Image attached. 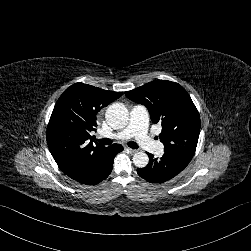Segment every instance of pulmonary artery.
Instances as JSON below:
<instances>
[{
  "label": "pulmonary artery",
  "mask_w": 251,
  "mask_h": 251,
  "mask_svg": "<svg viewBox=\"0 0 251 251\" xmlns=\"http://www.w3.org/2000/svg\"><path fill=\"white\" fill-rule=\"evenodd\" d=\"M147 118V110L142 106H137L131 111L130 121L127 127L118 132L111 133V136L121 140L132 137L138 145L142 146L145 152L149 154H165L166 148L164 144L154 141L147 129Z\"/></svg>",
  "instance_id": "e3ab8cb5"
}]
</instances>
